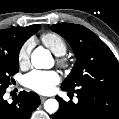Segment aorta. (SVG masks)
<instances>
[{
    "label": "aorta",
    "mask_w": 119,
    "mask_h": 119,
    "mask_svg": "<svg viewBox=\"0 0 119 119\" xmlns=\"http://www.w3.org/2000/svg\"><path fill=\"white\" fill-rule=\"evenodd\" d=\"M32 65L37 69H48L53 66V58L50 52L44 48H36L31 55ZM59 108V103L56 99H48L44 103V109L48 113H55Z\"/></svg>",
    "instance_id": "aorta-1"
}]
</instances>
